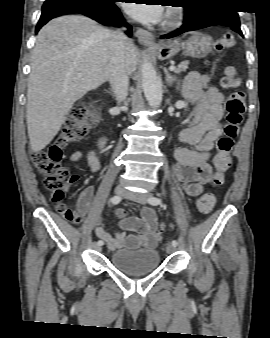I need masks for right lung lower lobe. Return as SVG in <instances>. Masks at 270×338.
<instances>
[{
  "label": "right lung lower lobe",
  "instance_id": "obj_1",
  "mask_svg": "<svg viewBox=\"0 0 270 338\" xmlns=\"http://www.w3.org/2000/svg\"><path fill=\"white\" fill-rule=\"evenodd\" d=\"M116 0L108 3L89 2L86 0H47L42 6V14L35 32L54 17L79 13L88 16L103 25L121 26L128 28L127 34L131 35V26L127 24L120 10L114 4Z\"/></svg>",
  "mask_w": 270,
  "mask_h": 338
}]
</instances>
